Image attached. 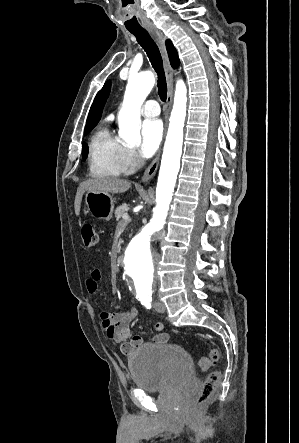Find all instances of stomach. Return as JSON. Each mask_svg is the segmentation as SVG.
I'll return each instance as SVG.
<instances>
[{
    "label": "stomach",
    "instance_id": "stomach-1",
    "mask_svg": "<svg viewBox=\"0 0 299 443\" xmlns=\"http://www.w3.org/2000/svg\"><path fill=\"white\" fill-rule=\"evenodd\" d=\"M85 204L92 216L109 221L114 211V198L107 193L87 191Z\"/></svg>",
    "mask_w": 299,
    "mask_h": 443
}]
</instances>
